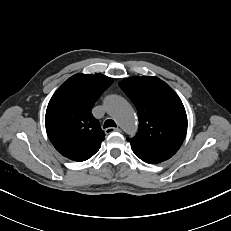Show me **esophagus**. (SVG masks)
Masks as SVG:
<instances>
[{"label": "esophagus", "mask_w": 231, "mask_h": 231, "mask_svg": "<svg viewBox=\"0 0 231 231\" xmlns=\"http://www.w3.org/2000/svg\"><path fill=\"white\" fill-rule=\"evenodd\" d=\"M121 130H120V128H114V127H109V128H106L105 129V133L106 134H110V133H112V132H120Z\"/></svg>", "instance_id": "obj_1"}]
</instances>
